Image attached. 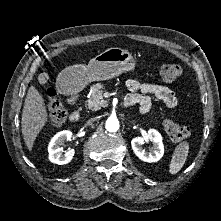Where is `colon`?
<instances>
[{
	"mask_svg": "<svg viewBox=\"0 0 221 221\" xmlns=\"http://www.w3.org/2000/svg\"><path fill=\"white\" fill-rule=\"evenodd\" d=\"M182 73L181 66L178 64H166L160 68L161 78L166 82L176 81ZM45 100L49 112V122L52 126L62 125L67 117V109L57 97L53 89L47 90ZM163 127L172 141H181L190 135V129L187 126L176 124L170 119L163 121Z\"/></svg>",
	"mask_w": 221,
	"mask_h": 221,
	"instance_id": "5ec220e1",
	"label": "colon"
}]
</instances>
